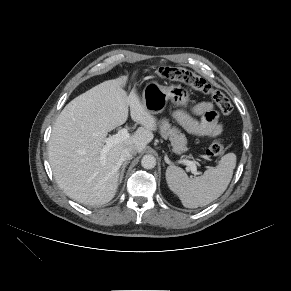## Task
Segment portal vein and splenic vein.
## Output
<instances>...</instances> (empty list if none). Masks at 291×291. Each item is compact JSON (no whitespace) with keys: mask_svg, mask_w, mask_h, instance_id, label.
Wrapping results in <instances>:
<instances>
[{"mask_svg":"<svg viewBox=\"0 0 291 291\" xmlns=\"http://www.w3.org/2000/svg\"><path fill=\"white\" fill-rule=\"evenodd\" d=\"M127 138H129L128 129L122 128L121 130L118 131L117 134L112 135L104 140L105 146L102 149V153L103 154L107 153L111 147L126 140ZM183 163L188 166L192 174L197 173V167L194 161L184 160Z\"/></svg>","mask_w":291,"mask_h":291,"instance_id":"portal-vein-and-splenic-vein-1","label":"portal vein and splenic vein"}]
</instances>
